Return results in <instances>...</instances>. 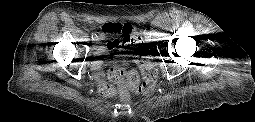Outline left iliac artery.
<instances>
[{"instance_id": "44dca946", "label": "left iliac artery", "mask_w": 255, "mask_h": 122, "mask_svg": "<svg viewBox=\"0 0 255 122\" xmlns=\"http://www.w3.org/2000/svg\"><path fill=\"white\" fill-rule=\"evenodd\" d=\"M147 35H150V33H147ZM148 40L151 41V39L149 38V36H148Z\"/></svg>"}]
</instances>
